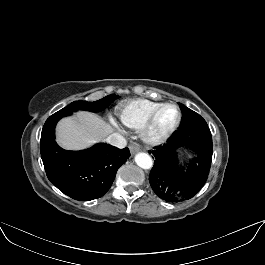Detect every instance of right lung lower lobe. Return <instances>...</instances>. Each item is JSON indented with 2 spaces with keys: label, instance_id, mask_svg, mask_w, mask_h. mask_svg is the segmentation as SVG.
Returning <instances> with one entry per match:
<instances>
[{
  "label": "right lung lower lobe",
  "instance_id": "right-lung-lower-lobe-1",
  "mask_svg": "<svg viewBox=\"0 0 265 265\" xmlns=\"http://www.w3.org/2000/svg\"><path fill=\"white\" fill-rule=\"evenodd\" d=\"M64 115L50 116L41 133V158L48 179L76 200H93L111 187L118 168L130 156L128 148L106 143L83 151H66L55 142V126Z\"/></svg>",
  "mask_w": 265,
  "mask_h": 265
}]
</instances>
